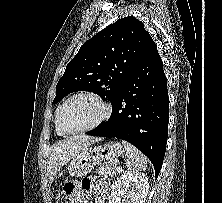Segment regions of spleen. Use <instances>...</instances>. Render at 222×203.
<instances>
[{"mask_svg":"<svg viewBox=\"0 0 222 203\" xmlns=\"http://www.w3.org/2000/svg\"><path fill=\"white\" fill-rule=\"evenodd\" d=\"M125 148V164L128 171H144L147 168V158L137 148L126 141H122Z\"/></svg>","mask_w":222,"mask_h":203,"instance_id":"1","label":"spleen"}]
</instances>
